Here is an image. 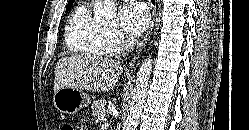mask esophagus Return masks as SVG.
Listing matches in <instances>:
<instances>
[{"instance_id":"34e87169","label":"esophagus","mask_w":249,"mask_h":130,"mask_svg":"<svg viewBox=\"0 0 249 130\" xmlns=\"http://www.w3.org/2000/svg\"><path fill=\"white\" fill-rule=\"evenodd\" d=\"M155 20H156V8L152 5L151 6V21H150V25L145 33V35L143 36L142 40L138 43L136 51L132 57V60L128 66V71H132V69L134 68V65L136 63V61L138 60L140 53L142 52V50L144 49L145 45L147 44V42L150 39V36L152 34L153 28H154V24H155Z\"/></svg>"}]
</instances>
